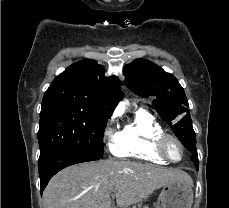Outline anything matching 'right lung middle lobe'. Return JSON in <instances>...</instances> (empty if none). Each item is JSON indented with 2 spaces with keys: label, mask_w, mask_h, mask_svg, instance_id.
<instances>
[{
  "label": "right lung middle lobe",
  "mask_w": 229,
  "mask_h": 208,
  "mask_svg": "<svg viewBox=\"0 0 229 208\" xmlns=\"http://www.w3.org/2000/svg\"><path fill=\"white\" fill-rule=\"evenodd\" d=\"M106 123L107 119L91 115L76 105L42 104L38 131V164L65 149L79 150L102 158Z\"/></svg>",
  "instance_id": "dd1d6c3e"
}]
</instances>
